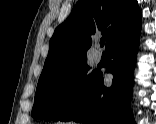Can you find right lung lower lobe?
Returning a JSON list of instances; mask_svg holds the SVG:
<instances>
[{
  "label": "right lung lower lobe",
  "instance_id": "right-lung-lower-lobe-1",
  "mask_svg": "<svg viewBox=\"0 0 156 124\" xmlns=\"http://www.w3.org/2000/svg\"><path fill=\"white\" fill-rule=\"evenodd\" d=\"M141 26L126 32L107 49L113 61L106 71L113 74L112 86L103 84L99 71L79 103L60 120L86 124H134L130 110L134 67Z\"/></svg>",
  "mask_w": 156,
  "mask_h": 124
}]
</instances>
